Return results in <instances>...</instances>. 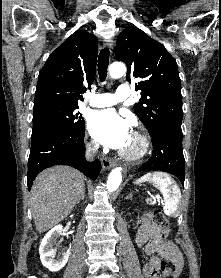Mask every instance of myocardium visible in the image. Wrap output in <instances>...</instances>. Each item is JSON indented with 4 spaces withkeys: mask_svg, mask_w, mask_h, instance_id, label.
Instances as JSON below:
<instances>
[{
    "mask_svg": "<svg viewBox=\"0 0 221 278\" xmlns=\"http://www.w3.org/2000/svg\"><path fill=\"white\" fill-rule=\"evenodd\" d=\"M131 138L137 140L138 142V148L136 151L130 152V151H126V150H121L119 152V155L128 161H138L141 160L142 158H144L150 149V141L147 137V135H145L142 132L139 131H134L131 135Z\"/></svg>",
    "mask_w": 221,
    "mask_h": 278,
    "instance_id": "f54148a6",
    "label": "myocardium"
}]
</instances>
